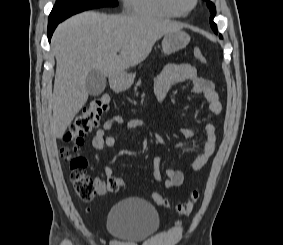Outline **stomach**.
Returning a JSON list of instances; mask_svg holds the SVG:
<instances>
[{"label":"stomach","mask_w":283,"mask_h":245,"mask_svg":"<svg viewBox=\"0 0 283 245\" xmlns=\"http://www.w3.org/2000/svg\"><path fill=\"white\" fill-rule=\"evenodd\" d=\"M190 41L189 35L182 31H174L164 35L162 40L163 53L169 55L176 51H179L187 46ZM134 81V74H122L115 81V85L118 88H127Z\"/></svg>","instance_id":"obj_1"}]
</instances>
